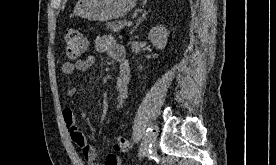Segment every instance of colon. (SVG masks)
Wrapping results in <instances>:
<instances>
[{
  "mask_svg": "<svg viewBox=\"0 0 276 165\" xmlns=\"http://www.w3.org/2000/svg\"><path fill=\"white\" fill-rule=\"evenodd\" d=\"M67 56L78 58L87 50V41L77 29H68L64 36ZM129 148V142L124 137H116L113 141V149L116 152H126Z\"/></svg>",
  "mask_w": 276,
  "mask_h": 165,
  "instance_id": "1",
  "label": "colon"
}]
</instances>
